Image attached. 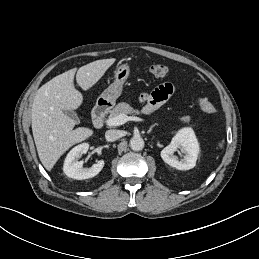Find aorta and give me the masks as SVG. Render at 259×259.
<instances>
[{
    "instance_id": "762f6f07",
    "label": "aorta",
    "mask_w": 259,
    "mask_h": 259,
    "mask_svg": "<svg viewBox=\"0 0 259 259\" xmlns=\"http://www.w3.org/2000/svg\"><path fill=\"white\" fill-rule=\"evenodd\" d=\"M130 147L134 151H140L144 148V140L140 136H134L130 140Z\"/></svg>"
}]
</instances>
